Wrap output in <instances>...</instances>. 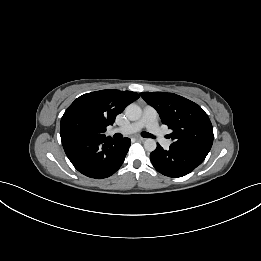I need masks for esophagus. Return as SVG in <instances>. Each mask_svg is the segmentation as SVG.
Wrapping results in <instances>:
<instances>
[{
    "instance_id": "34e87169",
    "label": "esophagus",
    "mask_w": 261,
    "mask_h": 261,
    "mask_svg": "<svg viewBox=\"0 0 261 261\" xmlns=\"http://www.w3.org/2000/svg\"><path fill=\"white\" fill-rule=\"evenodd\" d=\"M136 140H137V141H140V142H143L145 139L142 138V137H136Z\"/></svg>"
}]
</instances>
